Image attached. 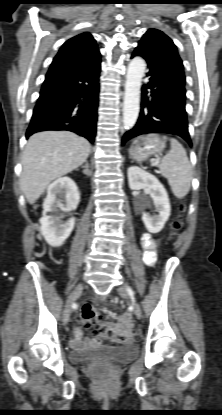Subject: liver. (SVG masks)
<instances>
[{
  "mask_svg": "<svg viewBox=\"0 0 222 415\" xmlns=\"http://www.w3.org/2000/svg\"><path fill=\"white\" fill-rule=\"evenodd\" d=\"M90 143L69 131H45L32 135L22 155L20 187L30 204L49 184L81 166L89 156Z\"/></svg>",
  "mask_w": 222,
  "mask_h": 415,
  "instance_id": "1",
  "label": "liver"
}]
</instances>
